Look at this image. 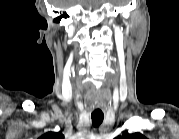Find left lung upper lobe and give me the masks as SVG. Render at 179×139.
Returning <instances> with one entry per match:
<instances>
[{"instance_id":"5c2ea615","label":"left lung upper lobe","mask_w":179,"mask_h":139,"mask_svg":"<svg viewBox=\"0 0 179 139\" xmlns=\"http://www.w3.org/2000/svg\"><path fill=\"white\" fill-rule=\"evenodd\" d=\"M141 136L140 134H124L120 139H137L136 137Z\"/></svg>"}]
</instances>
